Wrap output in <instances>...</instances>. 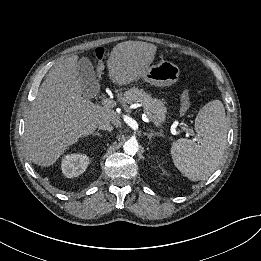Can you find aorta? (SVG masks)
Here are the masks:
<instances>
[{"mask_svg": "<svg viewBox=\"0 0 261 261\" xmlns=\"http://www.w3.org/2000/svg\"><path fill=\"white\" fill-rule=\"evenodd\" d=\"M138 147V142L135 139H129L123 145V149L128 155H135L138 152Z\"/></svg>", "mask_w": 261, "mask_h": 261, "instance_id": "obj_1", "label": "aorta"}]
</instances>
